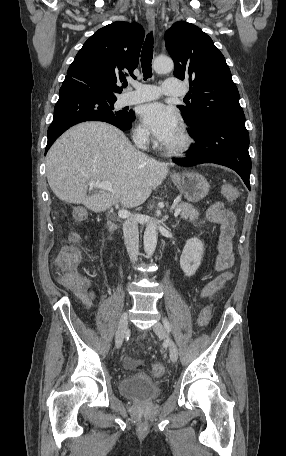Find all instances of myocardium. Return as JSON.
I'll return each mask as SVG.
<instances>
[{"instance_id":"obj_1","label":"myocardium","mask_w":286,"mask_h":456,"mask_svg":"<svg viewBox=\"0 0 286 456\" xmlns=\"http://www.w3.org/2000/svg\"><path fill=\"white\" fill-rule=\"evenodd\" d=\"M193 144V136L185 127H183L179 129V142L175 145H164L163 149L169 154L181 155L189 151Z\"/></svg>"}]
</instances>
